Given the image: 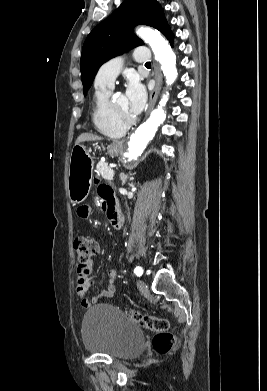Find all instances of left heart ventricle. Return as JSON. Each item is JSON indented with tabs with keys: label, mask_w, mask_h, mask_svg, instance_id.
Segmentation results:
<instances>
[{
	"label": "left heart ventricle",
	"mask_w": 267,
	"mask_h": 391,
	"mask_svg": "<svg viewBox=\"0 0 267 391\" xmlns=\"http://www.w3.org/2000/svg\"><path fill=\"white\" fill-rule=\"evenodd\" d=\"M111 102L120 115L126 118L133 117V115L130 113L128 109V104L125 95L118 94L114 97V99Z\"/></svg>",
	"instance_id": "1"
}]
</instances>
